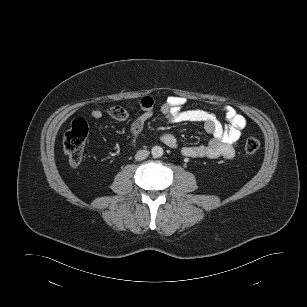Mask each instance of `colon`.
Returning a JSON list of instances; mask_svg holds the SVG:
<instances>
[{"label":"colon","mask_w":307,"mask_h":307,"mask_svg":"<svg viewBox=\"0 0 307 307\" xmlns=\"http://www.w3.org/2000/svg\"><path fill=\"white\" fill-rule=\"evenodd\" d=\"M88 135V126L84 119H75L71 128L66 132L63 138V149L72 165H78L83 159V153ZM260 142L256 138H248L244 149L248 154L257 152Z\"/></svg>","instance_id":"colon-1"}]
</instances>
